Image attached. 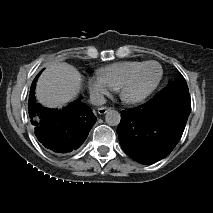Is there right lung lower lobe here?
Listing matches in <instances>:
<instances>
[{"mask_svg": "<svg viewBox=\"0 0 213 213\" xmlns=\"http://www.w3.org/2000/svg\"><path fill=\"white\" fill-rule=\"evenodd\" d=\"M36 79L33 81L28 101L29 116L35 135L52 151L66 153L77 149L96 122L95 115L79 100L61 110L43 107L34 97Z\"/></svg>", "mask_w": 213, "mask_h": 213, "instance_id": "obj_1", "label": "right lung lower lobe"}]
</instances>
